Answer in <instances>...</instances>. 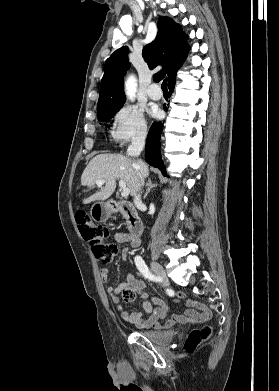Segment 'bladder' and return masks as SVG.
<instances>
[{
	"label": "bladder",
	"mask_w": 279,
	"mask_h": 391,
	"mask_svg": "<svg viewBox=\"0 0 279 391\" xmlns=\"http://www.w3.org/2000/svg\"><path fill=\"white\" fill-rule=\"evenodd\" d=\"M139 334L157 345H166L172 342L176 335V331H160V330H143Z\"/></svg>",
	"instance_id": "1"
}]
</instances>
